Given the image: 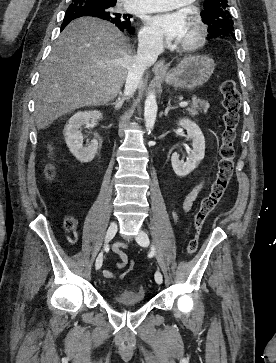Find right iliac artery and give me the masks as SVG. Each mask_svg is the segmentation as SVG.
I'll return each mask as SVG.
<instances>
[{
  "instance_id": "1",
  "label": "right iliac artery",
  "mask_w": 276,
  "mask_h": 363,
  "mask_svg": "<svg viewBox=\"0 0 276 363\" xmlns=\"http://www.w3.org/2000/svg\"><path fill=\"white\" fill-rule=\"evenodd\" d=\"M102 266V262L100 263V265H98L97 267H96V269H100V267Z\"/></svg>"
}]
</instances>
